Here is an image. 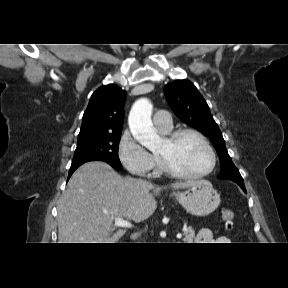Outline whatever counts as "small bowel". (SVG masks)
Segmentation results:
<instances>
[{"mask_svg":"<svg viewBox=\"0 0 288 288\" xmlns=\"http://www.w3.org/2000/svg\"><path fill=\"white\" fill-rule=\"evenodd\" d=\"M196 242L197 243H229L230 240L229 238L223 235L215 238L210 229L203 228L198 232Z\"/></svg>","mask_w":288,"mask_h":288,"instance_id":"small-bowel-1","label":"small bowel"}]
</instances>
